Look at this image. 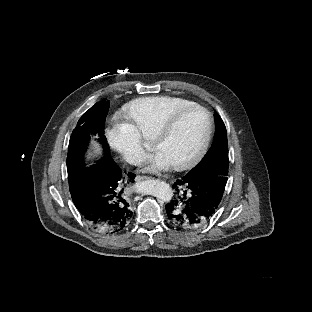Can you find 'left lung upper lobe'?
<instances>
[{"label":"left lung upper lobe","instance_id":"left-lung-upper-lobe-1","mask_svg":"<svg viewBox=\"0 0 312 312\" xmlns=\"http://www.w3.org/2000/svg\"><path fill=\"white\" fill-rule=\"evenodd\" d=\"M214 119L216 125L214 143L200 163L186 174L187 176L199 174L206 170H228L229 159L226 128L217 113L214 114Z\"/></svg>","mask_w":312,"mask_h":312}]
</instances>
